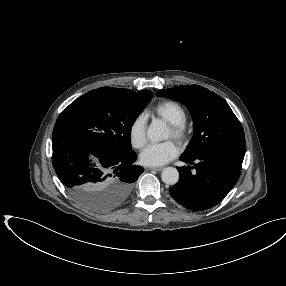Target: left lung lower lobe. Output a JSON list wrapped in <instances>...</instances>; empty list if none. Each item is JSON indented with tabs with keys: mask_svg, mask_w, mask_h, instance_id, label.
Wrapping results in <instances>:
<instances>
[{
	"mask_svg": "<svg viewBox=\"0 0 286 286\" xmlns=\"http://www.w3.org/2000/svg\"><path fill=\"white\" fill-rule=\"evenodd\" d=\"M244 155L228 151H208L195 157L181 156L190 165L177 167L180 178L169 189L171 196L192 211L214 207L231 191L239 179ZM196 174L191 173V169Z\"/></svg>",
	"mask_w": 286,
	"mask_h": 286,
	"instance_id": "0a47b994",
	"label": "left lung lower lobe"
}]
</instances>
